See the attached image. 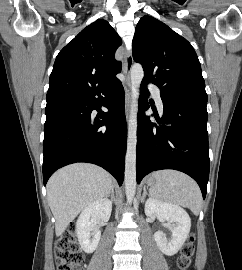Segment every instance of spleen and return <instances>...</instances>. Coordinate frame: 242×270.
<instances>
[{
  "instance_id": "1",
  "label": "spleen",
  "mask_w": 242,
  "mask_h": 270,
  "mask_svg": "<svg viewBox=\"0 0 242 270\" xmlns=\"http://www.w3.org/2000/svg\"><path fill=\"white\" fill-rule=\"evenodd\" d=\"M156 184L151 187V196L165 203L189 208L195 215L202 207V194L197 183L184 173L162 170L153 174Z\"/></svg>"
}]
</instances>
